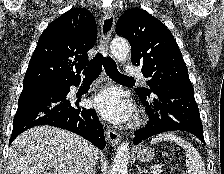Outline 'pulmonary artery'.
<instances>
[{
    "label": "pulmonary artery",
    "instance_id": "obj_1",
    "mask_svg": "<svg viewBox=\"0 0 224 174\" xmlns=\"http://www.w3.org/2000/svg\"><path fill=\"white\" fill-rule=\"evenodd\" d=\"M126 75L127 76H137V77H141L142 76V72L138 67L135 66H128L126 68Z\"/></svg>",
    "mask_w": 224,
    "mask_h": 174
}]
</instances>
